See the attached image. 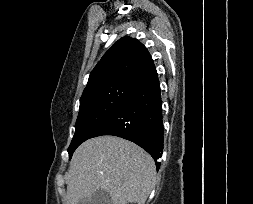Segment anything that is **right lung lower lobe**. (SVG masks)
Wrapping results in <instances>:
<instances>
[{
  "label": "right lung lower lobe",
  "mask_w": 253,
  "mask_h": 204,
  "mask_svg": "<svg viewBox=\"0 0 253 204\" xmlns=\"http://www.w3.org/2000/svg\"><path fill=\"white\" fill-rule=\"evenodd\" d=\"M163 134L161 90L154 68L136 83L92 138L114 135L130 140L146 150L159 169L157 159L162 156Z\"/></svg>",
  "instance_id": "1"
}]
</instances>
